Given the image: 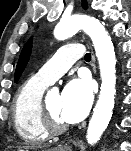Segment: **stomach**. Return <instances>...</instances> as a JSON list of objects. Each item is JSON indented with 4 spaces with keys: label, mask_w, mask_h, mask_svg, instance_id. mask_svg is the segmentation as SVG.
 <instances>
[{
    "label": "stomach",
    "mask_w": 131,
    "mask_h": 151,
    "mask_svg": "<svg viewBox=\"0 0 131 151\" xmlns=\"http://www.w3.org/2000/svg\"><path fill=\"white\" fill-rule=\"evenodd\" d=\"M60 151H71V149L69 147H64V148H60Z\"/></svg>",
    "instance_id": "obj_1"
}]
</instances>
